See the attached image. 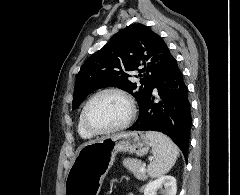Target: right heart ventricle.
Instances as JSON below:
<instances>
[{
  "instance_id": "1",
  "label": "right heart ventricle",
  "mask_w": 240,
  "mask_h": 195,
  "mask_svg": "<svg viewBox=\"0 0 240 195\" xmlns=\"http://www.w3.org/2000/svg\"><path fill=\"white\" fill-rule=\"evenodd\" d=\"M81 117H82V114L80 115V118H79V133L83 138L89 139L92 137V135L84 128Z\"/></svg>"
}]
</instances>
